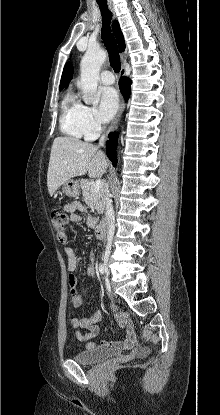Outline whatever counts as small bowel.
<instances>
[{"label":"small bowel","instance_id":"obj_1","mask_svg":"<svg viewBox=\"0 0 220 415\" xmlns=\"http://www.w3.org/2000/svg\"><path fill=\"white\" fill-rule=\"evenodd\" d=\"M67 211L70 213V220L72 222L82 221V217L79 212L84 210V207L78 202H72L66 206ZM86 224L89 227H92L96 224V220L88 218L85 220ZM57 237L60 242L66 243L68 240L67 232L63 231L61 234H57ZM65 254L67 257V267L69 271V286H70V297L72 303V313L76 314L78 308L81 305L82 297L77 287V278L75 272L79 267V258L75 251L71 247L65 248ZM92 264L87 268L88 276H94L95 266L94 261L96 259V254L93 252L90 255ZM120 323L124 325L126 337L120 341H103L101 346L110 350L117 352L122 349L131 348L134 345L135 337L133 330L127 324L126 318L124 315H117ZM101 320V311L97 310L88 317H72L70 320L71 326L76 329V337L79 341H89L95 338L99 334L98 323ZM87 348L96 347L94 342L89 341L86 344Z\"/></svg>","mask_w":220,"mask_h":415}]
</instances>
